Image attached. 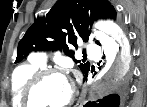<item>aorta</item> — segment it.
I'll return each mask as SVG.
<instances>
[{
	"mask_svg": "<svg viewBox=\"0 0 147 107\" xmlns=\"http://www.w3.org/2000/svg\"><path fill=\"white\" fill-rule=\"evenodd\" d=\"M101 43L107 59V67L90 86L88 99L96 100L115 90L126 78L131 61L129 44L120 29L114 24L102 23L94 32Z\"/></svg>",
	"mask_w": 147,
	"mask_h": 107,
	"instance_id": "aorta-1",
	"label": "aorta"
}]
</instances>
